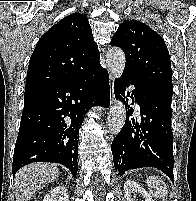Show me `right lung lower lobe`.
I'll list each match as a JSON object with an SVG mask.
<instances>
[{
    "instance_id": "right-lung-lower-lobe-1",
    "label": "right lung lower lobe",
    "mask_w": 196,
    "mask_h": 201,
    "mask_svg": "<svg viewBox=\"0 0 196 201\" xmlns=\"http://www.w3.org/2000/svg\"><path fill=\"white\" fill-rule=\"evenodd\" d=\"M109 76L99 63L79 75L24 92L13 175L33 162H55L77 174L79 129L93 105L108 107Z\"/></svg>"
}]
</instances>
